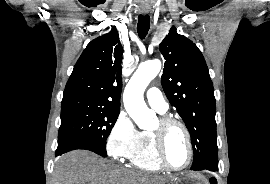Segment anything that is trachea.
<instances>
[{"label":"trachea","mask_w":270,"mask_h":184,"mask_svg":"<svg viewBox=\"0 0 270 184\" xmlns=\"http://www.w3.org/2000/svg\"><path fill=\"white\" fill-rule=\"evenodd\" d=\"M150 28V17L148 15H139L137 32L141 39L145 38Z\"/></svg>","instance_id":"3493384b"}]
</instances>
